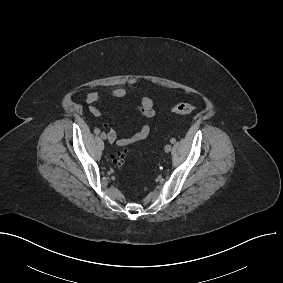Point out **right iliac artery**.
<instances>
[{"label": "right iliac artery", "mask_w": 283, "mask_h": 283, "mask_svg": "<svg viewBox=\"0 0 283 283\" xmlns=\"http://www.w3.org/2000/svg\"><path fill=\"white\" fill-rule=\"evenodd\" d=\"M95 133L99 134L100 133V129H95Z\"/></svg>", "instance_id": "obj_1"}]
</instances>
